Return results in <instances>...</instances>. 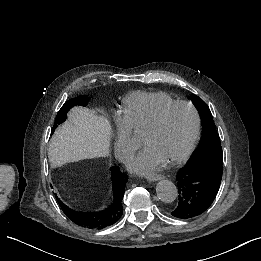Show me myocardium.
Segmentation results:
<instances>
[{"label": "myocardium", "mask_w": 261, "mask_h": 261, "mask_svg": "<svg viewBox=\"0 0 261 261\" xmlns=\"http://www.w3.org/2000/svg\"><path fill=\"white\" fill-rule=\"evenodd\" d=\"M173 106L183 107V108H186L189 111H191V113L194 116L195 123H194V129H193L192 135H191L188 143L185 145V147L179 153L169 156L165 159H162L163 163H165L167 165L185 159L186 156L191 152V150L195 146V144L199 138V135L201 132V126H202V118H201L199 111L192 104H190L188 102L175 100V101H171V102L164 104L162 107H160L155 112L141 117L137 123V125H139V124H144L146 122H149V121L157 118L163 111H165L166 109L173 107Z\"/></svg>", "instance_id": "f54148a6"}]
</instances>
